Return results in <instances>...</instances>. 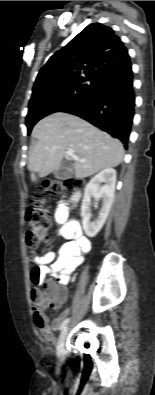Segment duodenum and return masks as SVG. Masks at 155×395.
Here are the masks:
<instances>
[{
  "label": "duodenum",
  "instance_id": "obj_1",
  "mask_svg": "<svg viewBox=\"0 0 155 395\" xmlns=\"http://www.w3.org/2000/svg\"><path fill=\"white\" fill-rule=\"evenodd\" d=\"M79 197H80V194H79V193H76V194L73 196V201H77V200L79 199Z\"/></svg>",
  "mask_w": 155,
  "mask_h": 395
}]
</instances>
